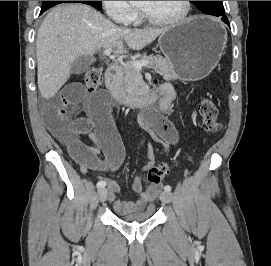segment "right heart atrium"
<instances>
[{"instance_id":"obj_1","label":"right heart atrium","mask_w":271,"mask_h":266,"mask_svg":"<svg viewBox=\"0 0 271 266\" xmlns=\"http://www.w3.org/2000/svg\"><path fill=\"white\" fill-rule=\"evenodd\" d=\"M108 17L120 24H132L136 22L138 10L128 1H101Z\"/></svg>"}]
</instances>
